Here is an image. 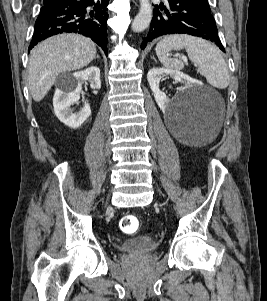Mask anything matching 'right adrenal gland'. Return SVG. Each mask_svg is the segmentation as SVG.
I'll return each instance as SVG.
<instances>
[{
  "instance_id": "right-adrenal-gland-1",
  "label": "right adrenal gland",
  "mask_w": 267,
  "mask_h": 301,
  "mask_svg": "<svg viewBox=\"0 0 267 301\" xmlns=\"http://www.w3.org/2000/svg\"><path fill=\"white\" fill-rule=\"evenodd\" d=\"M96 58H97V59H100V56H99V55H97V56H96Z\"/></svg>"
}]
</instances>
